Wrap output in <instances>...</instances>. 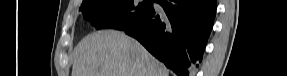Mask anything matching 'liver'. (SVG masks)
Returning a JSON list of instances; mask_svg holds the SVG:
<instances>
[{"label": "liver", "mask_w": 287, "mask_h": 76, "mask_svg": "<svg viewBox=\"0 0 287 76\" xmlns=\"http://www.w3.org/2000/svg\"><path fill=\"white\" fill-rule=\"evenodd\" d=\"M163 63L119 31L84 37L74 49L71 76H168Z\"/></svg>", "instance_id": "1"}]
</instances>
